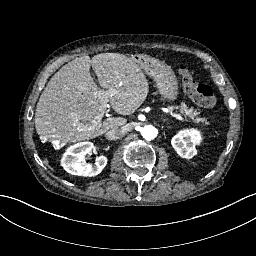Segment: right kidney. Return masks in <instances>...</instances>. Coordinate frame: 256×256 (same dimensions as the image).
Instances as JSON below:
<instances>
[{"label":"right kidney","instance_id":"1","mask_svg":"<svg viewBox=\"0 0 256 256\" xmlns=\"http://www.w3.org/2000/svg\"><path fill=\"white\" fill-rule=\"evenodd\" d=\"M94 145L92 142L85 141L70 146L63 154L61 166L72 175L96 176L104 169L107 164L105 156L96 158L94 164L86 163L85 155L90 153Z\"/></svg>","mask_w":256,"mask_h":256}]
</instances>
